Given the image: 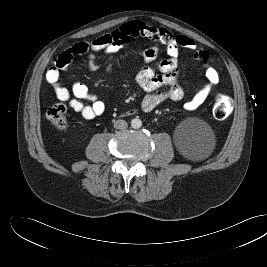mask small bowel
I'll use <instances>...</instances> for the list:
<instances>
[{"mask_svg": "<svg viewBox=\"0 0 267 267\" xmlns=\"http://www.w3.org/2000/svg\"><path fill=\"white\" fill-rule=\"evenodd\" d=\"M143 37L151 40L153 45L142 53L144 65L133 72L136 83L146 91L141 101L145 111H151L166 101H180L185 91L179 83V56L181 49L194 52L195 58L205 67L206 83L184 103L186 111L196 110L214 91L219 83L218 71L211 65L206 51L197 48L195 42L183 35H174L165 28L148 25L142 21H129L119 28L105 33L90 42H79L65 49L47 70L46 81L54 88L59 100L68 102L69 106L85 119H93L105 111V103L81 82H75L70 88L60 84V72L66 70L75 55L88 53V67L92 71L99 69L96 53L110 56L118 52L130 39ZM160 45H164L168 57L155 63ZM107 71L112 67L107 66Z\"/></svg>", "mask_w": 267, "mask_h": 267, "instance_id": "c3829d8e", "label": "small bowel"}]
</instances>
